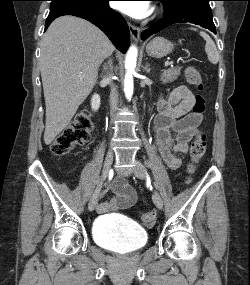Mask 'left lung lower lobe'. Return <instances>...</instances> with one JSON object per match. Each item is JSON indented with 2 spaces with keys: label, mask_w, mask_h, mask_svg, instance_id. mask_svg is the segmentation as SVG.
<instances>
[{
  "label": "left lung lower lobe",
  "mask_w": 250,
  "mask_h": 285,
  "mask_svg": "<svg viewBox=\"0 0 250 285\" xmlns=\"http://www.w3.org/2000/svg\"><path fill=\"white\" fill-rule=\"evenodd\" d=\"M188 22L209 29L214 34H216L215 25L212 19V13L201 10H188L186 12H183L182 14H178L175 16L164 15V18L161 19L158 23H156L149 29L144 30L142 32L141 38L142 40H146L151 35L158 33L159 31L172 24Z\"/></svg>",
  "instance_id": "1"
}]
</instances>
